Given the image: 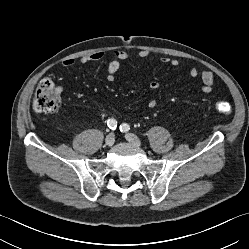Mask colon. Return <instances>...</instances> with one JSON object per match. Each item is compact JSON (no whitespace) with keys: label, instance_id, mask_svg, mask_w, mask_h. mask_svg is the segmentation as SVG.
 I'll list each match as a JSON object with an SVG mask.
<instances>
[{"label":"colon","instance_id":"colon-1","mask_svg":"<svg viewBox=\"0 0 249 249\" xmlns=\"http://www.w3.org/2000/svg\"><path fill=\"white\" fill-rule=\"evenodd\" d=\"M60 108L61 98L55 82L50 77L41 79L33 98V109L38 113L52 114L58 112ZM215 109L222 114L231 112L230 104L225 101L216 102Z\"/></svg>","mask_w":249,"mask_h":249}]
</instances>
